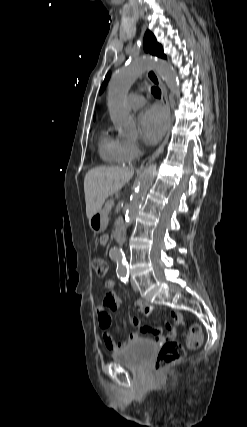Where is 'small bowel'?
<instances>
[{
    "instance_id": "small-bowel-1",
    "label": "small bowel",
    "mask_w": 247,
    "mask_h": 427,
    "mask_svg": "<svg viewBox=\"0 0 247 427\" xmlns=\"http://www.w3.org/2000/svg\"><path fill=\"white\" fill-rule=\"evenodd\" d=\"M107 241V237L104 236L101 239V244H105ZM115 283L113 280H107L104 283V287L108 290V292L105 294L103 300L100 304L97 306V315H98V323L100 328L103 331V338L106 347L109 350L117 351L124 346L128 345L129 343L136 341L139 338L138 332H131L128 334L126 340L122 344H117L114 340L113 335L110 333L109 328L111 326V315L110 311H115L120 306V299L119 297L112 291L114 288ZM135 308L143 313L144 315H150L152 312V307L149 303H147L144 300H137L135 303ZM171 319L176 325H184V317L183 315L178 311H171ZM132 325L135 328H138L140 332L143 333H151L154 337V339L157 342H167V341H173L175 338V329L172 324L166 322L165 328L167 330L166 334L163 333V329L161 327H142L141 321L139 318L135 317L132 319Z\"/></svg>"
}]
</instances>
